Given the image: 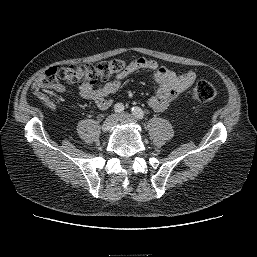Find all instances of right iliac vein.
<instances>
[{"instance_id":"1","label":"right iliac vein","mask_w":257,"mask_h":257,"mask_svg":"<svg viewBox=\"0 0 257 257\" xmlns=\"http://www.w3.org/2000/svg\"><path fill=\"white\" fill-rule=\"evenodd\" d=\"M118 122V116L115 114H112L108 116L105 121L102 124V130L103 132L110 131Z\"/></svg>"}]
</instances>
